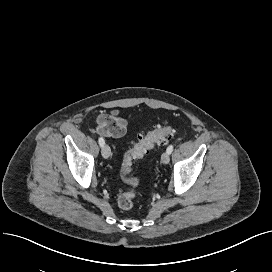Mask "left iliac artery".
<instances>
[{
  "label": "left iliac artery",
  "instance_id": "44dca946",
  "mask_svg": "<svg viewBox=\"0 0 272 272\" xmlns=\"http://www.w3.org/2000/svg\"><path fill=\"white\" fill-rule=\"evenodd\" d=\"M173 149H174V146H173V145H169L166 151H167L169 154H171L172 151H173Z\"/></svg>",
  "mask_w": 272,
  "mask_h": 272
}]
</instances>
